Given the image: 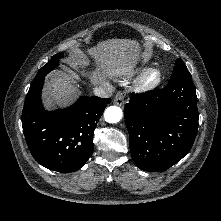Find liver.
<instances>
[{
    "instance_id": "1",
    "label": "liver",
    "mask_w": 221,
    "mask_h": 221,
    "mask_svg": "<svg viewBox=\"0 0 221 221\" xmlns=\"http://www.w3.org/2000/svg\"><path fill=\"white\" fill-rule=\"evenodd\" d=\"M139 51V43L130 39H108L88 49L87 53L98 65V69L91 75V82L94 85H103L108 77L131 75L139 58ZM84 57L80 50H75V57L71 62L73 68L81 74L85 73L81 69ZM76 77V73L71 70H68V74L56 71L49 76L44 88L47 107L66 106L76 99Z\"/></svg>"
}]
</instances>
